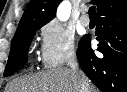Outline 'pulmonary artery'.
Masks as SVG:
<instances>
[{"label":"pulmonary artery","instance_id":"1","mask_svg":"<svg viewBox=\"0 0 127 92\" xmlns=\"http://www.w3.org/2000/svg\"><path fill=\"white\" fill-rule=\"evenodd\" d=\"M87 9H83L82 10V15L80 17V23L83 25V26H88L90 24V19H89V16L87 15Z\"/></svg>","mask_w":127,"mask_h":92}]
</instances>
